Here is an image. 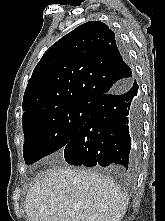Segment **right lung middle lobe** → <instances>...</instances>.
<instances>
[{"instance_id": "obj_1", "label": "right lung middle lobe", "mask_w": 165, "mask_h": 221, "mask_svg": "<svg viewBox=\"0 0 165 221\" xmlns=\"http://www.w3.org/2000/svg\"><path fill=\"white\" fill-rule=\"evenodd\" d=\"M90 110L91 104L65 105L44 110L22 121L25 163L32 164L63 149L88 120Z\"/></svg>"}]
</instances>
